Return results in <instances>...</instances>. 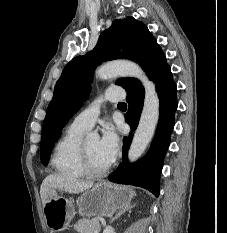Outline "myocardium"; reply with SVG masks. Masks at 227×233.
<instances>
[{"label": "myocardium", "mask_w": 227, "mask_h": 233, "mask_svg": "<svg viewBox=\"0 0 227 233\" xmlns=\"http://www.w3.org/2000/svg\"><path fill=\"white\" fill-rule=\"evenodd\" d=\"M80 162L85 174L94 177H99L107 174L112 167V163H109L106 167L101 169L94 167L90 161L85 143H82L80 147Z\"/></svg>", "instance_id": "f54148a6"}]
</instances>
